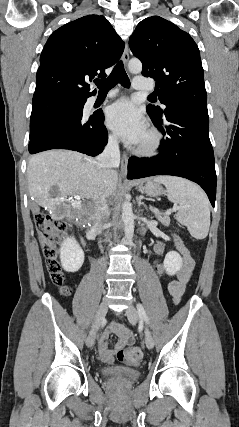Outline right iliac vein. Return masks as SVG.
Returning a JSON list of instances; mask_svg holds the SVG:
<instances>
[{
    "mask_svg": "<svg viewBox=\"0 0 239 427\" xmlns=\"http://www.w3.org/2000/svg\"><path fill=\"white\" fill-rule=\"evenodd\" d=\"M108 311V306H107V302L103 301L96 312L95 315V319L92 325V328L88 334V337L86 339V345L91 348L93 347L94 343H95V338H96V334H97V330L100 326V324L103 322V320L105 319V316L107 314Z\"/></svg>",
    "mask_w": 239,
    "mask_h": 427,
    "instance_id": "obj_1",
    "label": "right iliac vein"
}]
</instances>
